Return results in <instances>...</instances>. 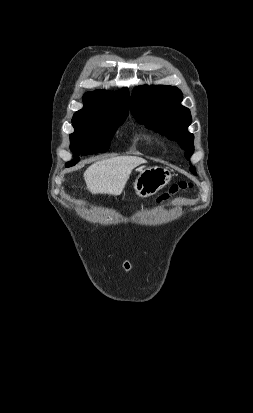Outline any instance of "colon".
I'll list each match as a JSON object with an SVG mask.
<instances>
[{"instance_id": "obj_1", "label": "colon", "mask_w": 253, "mask_h": 413, "mask_svg": "<svg viewBox=\"0 0 253 413\" xmlns=\"http://www.w3.org/2000/svg\"><path fill=\"white\" fill-rule=\"evenodd\" d=\"M192 187V184L186 181H181L178 182L174 185H172L168 192L160 195L157 200L156 203L157 204H165L167 203L172 197L176 196L177 194L181 193V192H185L188 189H190Z\"/></svg>"}]
</instances>
